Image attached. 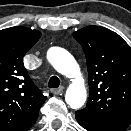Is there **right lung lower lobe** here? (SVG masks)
<instances>
[{"mask_svg": "<svg viewBox=\"0 0 131 131\" xmlns=\"http://www.w3.org/2000/svg\"><path fill=\"white\" fill-rule=\"evenodd\" d=\"M36 120H37V119H36ZM36 120L30 122V123L25 127V129H23V130H21V131H26L30 126H32V125L35 123Z\"/></svg>", "mask_w": 131, "mask_h": 131, "instance_id": "obj_1", "label": "right lung lower lobe"}]
</instances>
